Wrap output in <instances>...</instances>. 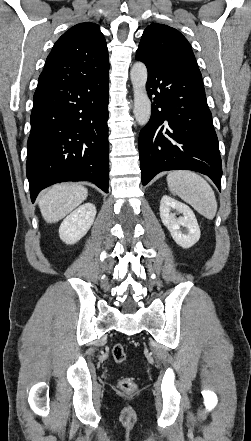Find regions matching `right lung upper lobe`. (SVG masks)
I'll return each mask as SVG.
<instances>
[{
    "mask_svg": "<svg viewBox=\"0 0 251 441\" xmlns=\"http://www.w3.org/2000/svg\"><path fill=\"white\" fill-rule=\"evenodd\" d=\"M107 69L108 49L99 26L80 23L65 32L54 44L39 82L76 80Z\"/></svg>",
    "mask_w": 251,
    "mask_h": 441,
    "instance_id": "right-lung-upper-lobe-1",
    "label": "right lung upper lobe"
}]
</instances>
